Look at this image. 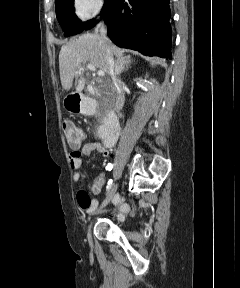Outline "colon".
Returning a JSON list of instances; mask_svg holds the SVG:
<instances>
[{
  "label": "colon",
  "instance_id": "1",
  "mask_svg": "<svg viewBox=\"0 0 240 288\" xmlns=\"http://www.w3.org/2000/svg\"><path fill=\"white\" fill-rule=\"evenodd\" d=\"M63 130L68 141V144L71 147L78 146L83 141L82 132L70 121H66L63 123Z\"/></svg>",
  "mask_w": 240,
  "mask_h": 288
}]
</instances>
